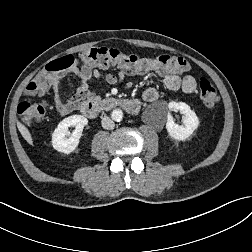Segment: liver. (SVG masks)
Here are the masks:
<instances>
[{"mask_svg": "<svg viewBox=\"0 0 252 252\" xmlns=\"http://www.w3.org/2000/svg\"><path fill=\"white\" fill-rule=\"evenodd\" d=\"M17 127L23 138L30 144L33 145L32 136L27 127H25L22 123L17 122Z\"/></svg>", "mask_w": 252, "mask_h": 252, "instance_id": "1", "label": "liver"}]
</instances>
